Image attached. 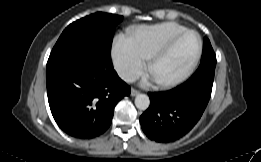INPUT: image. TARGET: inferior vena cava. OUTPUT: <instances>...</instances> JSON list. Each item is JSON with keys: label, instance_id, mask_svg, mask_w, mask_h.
I'll return each mask as SVG.
<instances>
[{"label": "inferior vena cava", "instance_id": "1", "mask_svg": "<svg viewBox=\"0 0 261 162\" xmlns=\"http://www.w3.org/2000/svg\"><path fill=\"white\" fill-rule=\"evenodd\" d=\"M118 75L120 76L121 79H123L126 82H135L137 80V75L133 73L130 70L127 69H119L118 70Z\"/></svg>", "mask_w": 261, "mask_h": 162}]
</instances>
